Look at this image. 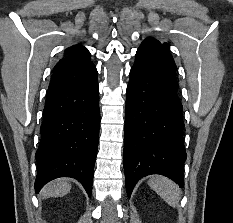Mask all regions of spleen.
Masks as SVG:
<instances>
[{
	"instance_id": "3e777b00",
	"label": "spleen",
	"mask_w": 233,
	"mask_h": 223,
	"mask_svg": "<svg viewBox=\"0 0 233 223\" xmlns=\"http://www.w3.org/2000/svg\"><path fill=\"white\" fill-rule=\"evenodd\" d=\"M151 189H154L160 197H163L164 201H167L172 207L178 205L180 199V187L177 183H174L172 179L164 177V175H153L148 181Z\"/></svg>"
}]
</instances>
